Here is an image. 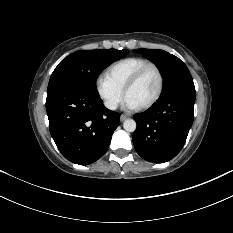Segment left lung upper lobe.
<instances>
[{
    "instance_id": "5c2ea615",
    "label": "left lung upper lobe",
    "mask_w": 233,
    "mask_h": 233,
    "mask_svg": "<svg viewBox=\"0 0 233 233\" xmlns=\"http://www.w3.org/2000/svg\"><path fill=\"white\" fill-rule=\"evenodd\" d=\"M159 68L164 79L161 97L175 92L195 93V86L187 66L176 56L159 49H136Z\"/></svg>"
}]
</instances>
